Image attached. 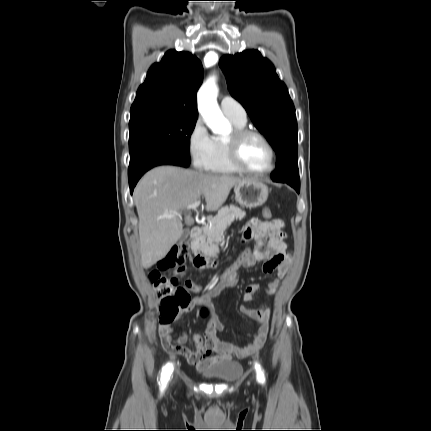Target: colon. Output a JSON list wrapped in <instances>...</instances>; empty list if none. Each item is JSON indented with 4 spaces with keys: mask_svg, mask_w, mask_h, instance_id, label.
<instances>
[{
    "mask_svg": "<svg viewBox=\"0 0 431 431\" xmlns=\"http://www.w3.org/2000/svg\"><path fill=\"white\" fill-rule=\"evenodd\" d=\"M264 216L270 217L271 211L269 208L264 209ZM187 250L185 248H172L167 255L157 263L156 269L149 273V279L154 286L155 294L158 299V310L160 318L164 322L174 320L180 312L184 314L192 313L193 309L202 308L203 310L210 308L211 304L215 303L216 297L220 298L226 289L231 290L238 282L234 276L235 273H240L245 265L244 260L251 256V248L246 246L235 259L225 267H229L228 276H225L224 268L222 276L217 278L216 285L211 286V289L206 291V295H199L196 300L191 301L188 288L181 285L180 278L177 276L185 271ZM173 270L176 275L169 276L167 273ZM203 322L209 319L206 313L200 316Z\"/></svg>",
    "mask_w": 431,
    "mask_h": 431,
    "instance_id": "colon-1",
    "label": "colon"
}]
</instances>
